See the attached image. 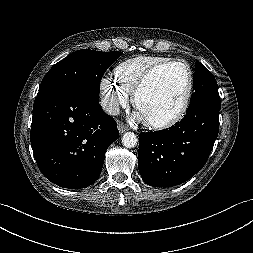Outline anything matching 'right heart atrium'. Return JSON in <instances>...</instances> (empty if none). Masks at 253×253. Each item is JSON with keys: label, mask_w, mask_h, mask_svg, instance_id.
<instances>
[{"label": "right heart atrium", "mask_w": 253, "mask_h": 253, "mask_svg": "<svg viewBox=\"0 0 253 253\" xmlns=\"http://www.w3.org/2000/svg\"><path fill=\"white\" fill-rule=\"evenodd\" d=\"M101 104L109 114H117L119 109L129 103V94L114 80L103 77L100 81Z\"/></svg>", "instance_id": "obj_1"}]
</instances>
